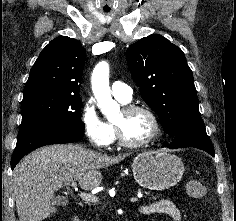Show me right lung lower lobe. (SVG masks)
I'll return each instance as SVG.
<instances>
[{"instance_id":"98d812e1","label":"right lung lower lobe","mask_w":236,"mask_h":221,"mask_svg":"<svg viewBox=\"0 0 236 221\" xmlns=\"http://www.w3.org/2000/svg\"><path fill=\"white\" fill-rule=\"evenodd\" d=\"M83 136V131L50 124H36L20 129L11 158V169H14L23 156L36 148L50 144L72 143Z\"/></svg>"}]
</instances>
